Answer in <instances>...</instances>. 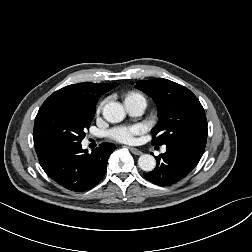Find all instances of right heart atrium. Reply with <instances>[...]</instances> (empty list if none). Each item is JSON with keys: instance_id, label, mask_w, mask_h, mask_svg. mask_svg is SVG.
I'll return each mask as SVG.
<instances>
[{"instance_id": "1", "label": "right heart atrium", "mask_w": 252, "mask_h": 252, "mask_svg": "<svg viewBox=\"0 0 252 252\" xmlns=\"http://www.w3.org/2000/svg\"><path fill=\"white\" fill-rule=\"evenodd\" d=\"M101 107H102V105H100V106L98 107V111L101 109Z\"/></svg>"}]
</instances>
